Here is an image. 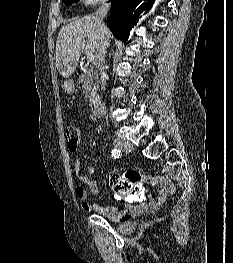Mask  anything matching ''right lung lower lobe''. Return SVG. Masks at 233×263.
<instances>
[{
	"label": "right lung lower lobe",
	"instance_id": "98d812e1",
	"mask_svg": "<svg viewBox=\"0 0 233 263\" xmlns=\"http://www.w3.org/2000/svg\"><path fill=\"white\" fill-rule=\"evenodd\" d=\"M153 3L154 0H112V14L107 18V26L115 38L127 41L139 15L146 9L148 11Z\"/></svg>",
	"mask_w": 233,
	"mask_h": 263
}]
</instances>
